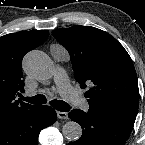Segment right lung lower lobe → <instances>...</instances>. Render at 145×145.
<instances>
[{"mask_svg":"<svg viewBox=\"0 0 145 145\" xmlns=\"http://www.w3.org/2000/svg\"><path fill=\"white\" fill-rule=\"evenodd\" d=\"M57 120L50 106H33L0 122V145H37L39 132Z\"/></svg>","mask_w":145,"mask_h":145,"instance_id":"1","label":"right lung lower lobe"}]
</instances>
